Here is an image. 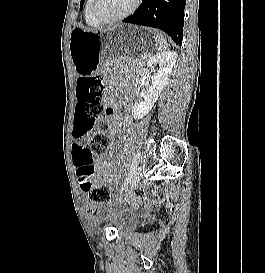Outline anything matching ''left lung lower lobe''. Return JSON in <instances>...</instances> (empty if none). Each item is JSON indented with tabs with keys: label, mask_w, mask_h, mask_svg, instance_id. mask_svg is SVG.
Instances as JSON below:
<instances>
[{
	"label": "left lung lower lobe",
	"mask_w": 265,
	"mask_h": 273,
	"mask_svg": "<svg viewBox=\"0 0 265 273\" xmlns=\"http://www.w3.org/2000/svg\"><path fill=\"white\" fill-rule=\"evenodd\" d=\"M185 4L186 0H144L136 13L123 22L158 28L181 45Z\"/></svg>",
	"instance_id": "1"
}]
</instances>
